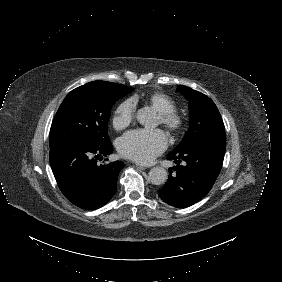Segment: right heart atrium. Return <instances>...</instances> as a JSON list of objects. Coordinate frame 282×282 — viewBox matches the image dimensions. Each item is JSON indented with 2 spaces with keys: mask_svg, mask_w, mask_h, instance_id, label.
Instances as JSON below:
<instances>
[{
  "mask_svg": "<svg viewBox=\"0 0 282 282\" xmlns=\"http://www.w3.org/2000/svg\"><path fill=\"white\" fill-rule=\"evenodd\" d=\"M134 110L129 103L122 104L115 113L113 123L116 128L126 127L133 119Z\"/></svg>",
  "mask_w": 282,
  "mask_h": 282,
  "instance_id": "d8ad5b80",
  "label": "right heart atrium"
}]
</instances>
